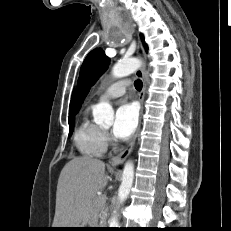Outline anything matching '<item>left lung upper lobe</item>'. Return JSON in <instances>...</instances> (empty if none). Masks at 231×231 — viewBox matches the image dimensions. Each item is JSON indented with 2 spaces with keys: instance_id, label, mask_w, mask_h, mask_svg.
<instances>
[{
  "instance_id": "obj_1",
  "label": "left lung upper lobe",
  "mask_w": 231,
  "mask_h": 231,
  "mask_svg": "<svg viewBox=\"0 0 231 231\" xmlns=\"http://www.w3.org/2000/svg\"><path fill=\"white\" fill-rule=\"evenodd\" d=\"M142 40L143 37H142ZM145 49L147 45L144 43ZM109 58L101 48L92 50L84 60L80 70V77L78 81V88L76 94V112L81 108V105L88 94L90 87L96 82L102 73L107 69Z\"/></svg>"
}]
</instances>
